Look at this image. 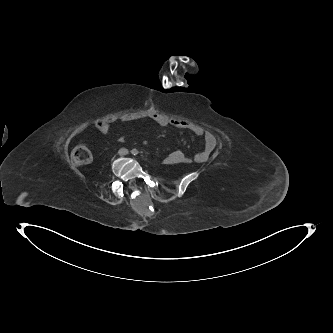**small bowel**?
<instances>
[{
  "mask_svg": "<svg viewBox=\"0 0 333 333\" xmlns=\"http://www.w3.org/2000/svg\"><path fill=\"white\" fill-rule=\"evenodd\" d=\"M145 117L146 116H143L141 114H131V115L123 116L122 118H120L119 121L122 123H128V122H134V121L141 120ZM147 117L160 126H173L178 129L189 130V131L193 132L195 135L202 137L204 140L203 149L198 151L197 153H195L193 155V157L187 156L182 151L183 154H185V156L187 158L186 161L180 162L178 160H176V161L173 160L169 163H166L164 161L165 164H168V165L191 164L193 162L204 163L209 159L211 153L213 152V150L216 146V137L210 131H208V130L204 129L203 127H201L200 125L190 122L188 120L172 119V118H168L167 116L159 114V113H153ZM115 122H116V120H99L96 123V128L99 132L106 134L112 130V125ZM123 140H124L123 137L119 138L120 142H123Z\"/></svg>",
  "mask_w": 333,
  "mask_h": 333,
  "instance_id": "small-bowel-1",
  "label": "small bowel"
}]
</instances>
